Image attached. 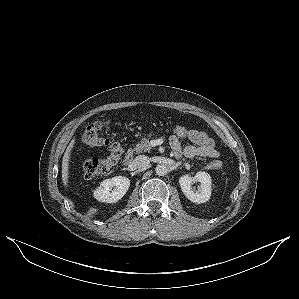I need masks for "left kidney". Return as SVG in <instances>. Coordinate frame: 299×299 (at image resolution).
Here are the masks:
<instances>
[{"instance_id":"left-kidney-1","label":"left kidney","mask_w":299,"mask_h":299,"mask_svg":"<svg viewBox=\"0 0 299 299\" xmlns=\"http://www.w3.org/2000/svg\"><path fill=\"white\" fill-rule=\"evenodd\" d=\"M201 183L200 190L194 192L191 188L193 182ZM179 184L182 192L190 201L194 203H204L210 199L211 196V177L208 173L199 171L194 177L188 174L183 175L179 179Z\"/></svg>"}]
</instances>
